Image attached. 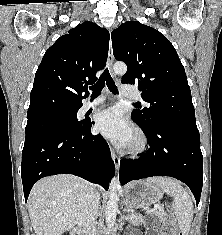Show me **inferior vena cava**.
I'll list each match as a JSON object with an SVG mask.
<instances>
[{"label":"inferior vena cava","mask_w":222,"mask_h":235,"mask_svg":"<svg viewBox=\"0 0 222 235\" xmlns=\"http://www.w3.org/2000/svg\"><path fill=\"white\" fill-rule=\"evenodd\" d=\"M99 201V188L94 185H90L86 196L85 208L80 217L84 235H97L95 220L98 213Z\"/></svg>","instance_id":"1"}]
</instances>
